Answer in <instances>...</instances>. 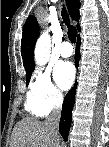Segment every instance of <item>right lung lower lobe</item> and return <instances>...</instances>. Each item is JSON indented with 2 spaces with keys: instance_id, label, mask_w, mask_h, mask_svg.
Here are the masks:
<instances>
[{
  "instance_id": "1",
  "label": "right lung lower lobe",
  "mask_w": 109,
  "mask_h": 147,
  "mask_svg": "<svg viewBox=\"0 0 109 147\" xmlns=\"http://www.w3.org/2000/svg\"><path fill=\"white\" fill-rule=\"evenodd\" d=\"M80 43H81L80 36H78V41L76 44V54H75L76 66H78V61L80 59V52H79ZM76 87H77V83L74 84V87L65 96L63 102L59 130L64 140H67L68 138L69 128L71 124V114L75 102Z\"/></svg>"
}]
</instances>
